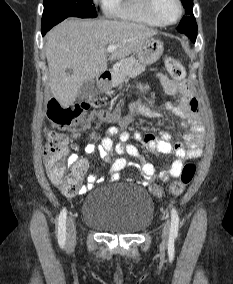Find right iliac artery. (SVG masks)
<instances>
[{
  "label": "right iliac artery",
  "instance_id": "82829eb1",
  "mask_svg": "<svg viewBox=\"0 0 233 284\" xmlns=\"http://www.w3.org/2000/svg\"><path fill=\"white\" fill-rule=\"evenodd\" d=\"M66 208L62 209L58 218V243L61 247L65 245L66 242Z\"/></svg>",
  "mask_w": 233,
  "mask_h": 284
}]
</instances>
